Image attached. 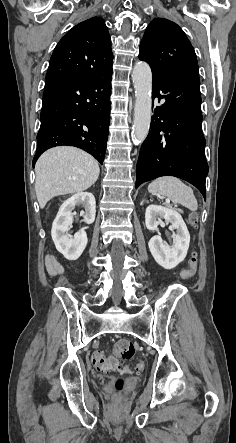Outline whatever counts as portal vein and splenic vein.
<instances>
[{
  "label": "portal vein and splenic vein",
  "instance_id": "obj_1",
  "mask_svg": "<svg viewBox=\"0 0 236 443\" xmlns=\"http://www.w3.org/2000/svg\"><path fill=\"white\" fill-rule=\"evenodd\" d=\"M167 204H170V202H169V201H167Z\"/></svg>",
  "mask_w": 236,
  "mask_h": 443
}]
</instances>
